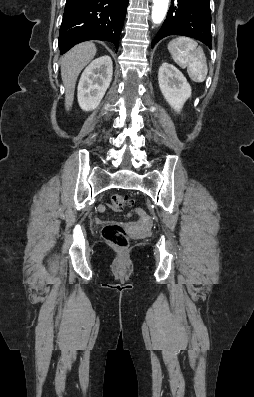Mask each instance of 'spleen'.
Instances as JSON below:
<instances>
[{
  "mask_svg": "<svg viewBox=\"0 0 254 397\" xmlns=\"http://www.w3.org/2000/svg\"><path fill=\"white\" fill-rule=\"evenodd\" d=\"M168 50L180 67H187L189 77L194 82L205 81L208 73L207 60L202 47L196 41L188 37H177L170 41Z\"/></svg>",
  "mask_w": 254,
  "mask_h": 397,
  "instance_id": "spleen-1",
  "label": "spleen"
}]
</instances>
